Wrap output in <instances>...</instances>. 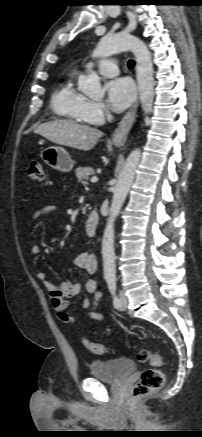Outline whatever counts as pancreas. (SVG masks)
Masks as SVG:
<instances>
[{
	"label": "pancreas",
	"mask_w": 202,
	"mask_h": 437,
	"mask_svg": "<svg viewBox=\"0 0 202 437\" xmlns=\"http://www.w3.org/2000/svg\"><path fill=\"white\" fill-rule=\"evenodd\" d=\"M95 171L91 167H79L76 169V176L78 179V182L84 183L86 180H88L90 175H94Z\"/></svg>",
	"instance_id": "cf45deb5"
}]
</instances>
